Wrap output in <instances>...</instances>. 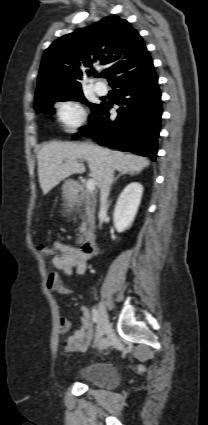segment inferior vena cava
<instances>
[{
	"mask_svg": "<svg viewBox=\"0 0 208 425\" xmlns=\"http://www.w3.org/2000/svg\"><path fill=\"white\" fill-rule=\"evenodd\" d=\"M114 170V165L109 162L105 168L100 190V204L102 208L107 205V199L110 193L111 185L114 182Z\"/></svg>",
	"mask_w": 208,
	"mask_h": 425,
	"instance_id": "602c4592",
	"label": "inferior vena cava"
}]
</instances>
